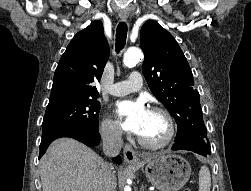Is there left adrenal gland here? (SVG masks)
<instances>
[{"label":"left adrenal gland","instance_id":"obj_1","mask_svg":"<svg viewBox=\"0 0 251 191\" xmlns=\"http://www.w3.org/2000/svg\"><path fill=\"white\" fill-rule=\"evenodd\" d=\"M141 191H144V185H143V183H142Z\"/></svg>","mask_w":251,"mask_h":191}]
</instances>
